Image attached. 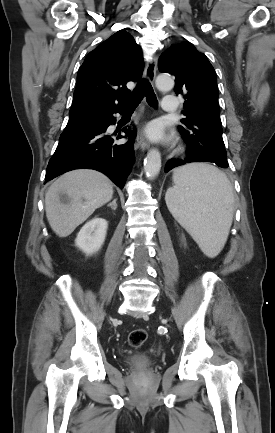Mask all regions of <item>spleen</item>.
Segmentation results:
<instances>
[{
    "label": "spleen",
    "mask_w": 275,
    "mask_h": 433,
    "mask_svg": "<svg viewBox=\"0 0 275 433\" xmlns=\"http://www.w3.org/2000/svg\"><path fill=\"white\" fill-rule=\"evenodd\" d=\"M165 200L173 217L213 258L222 250L233 220L234 194L227 176L209 164L192 163L173 172Z\"/></svg>",
    "instance_id": "1"
}]
</instances>
